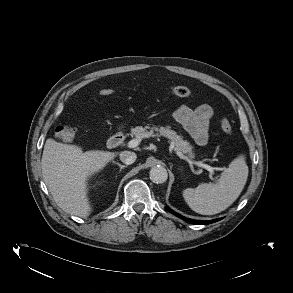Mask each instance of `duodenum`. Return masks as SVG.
<instances>
[{
  "label": "duodenum",
  "mask_w": 293,
  "mask_h": 293,
  "mask_svg": "<svg viewBox=\"0 0 293 293\" xmlns=\"http://www.w3.org/2000/svg\"><path fill=\"white\" fill-rule=\"evenodd\" d=\"M124 141V135L122 133H116L112 135L108 141H107V146L110 149H115L119 147Z\"/></svg>",
  "instance_id": "obj_1"
}]
</instances>
